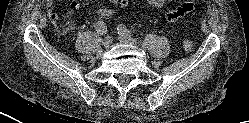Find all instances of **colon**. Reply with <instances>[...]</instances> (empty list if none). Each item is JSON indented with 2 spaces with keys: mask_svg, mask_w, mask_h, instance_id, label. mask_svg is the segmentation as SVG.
Wrapping results in <instances>:
<instances>
[{
  "mask_svg": "<svg viewBox=\"0 0 249 123\" xmlns=\"http://www.w3.org/2000/svg\"><path fill=\"white\" fill-rule=\"evenodd\" d=\"M181 47L185 52L191 53L195 48V44L190 37H184L181 40Z\"/></svg>",
  "mask_w": 249,
  "mask_h": 123,
  "instance_id": "obj_1",
  "label": "colon"
}]
</instances>
